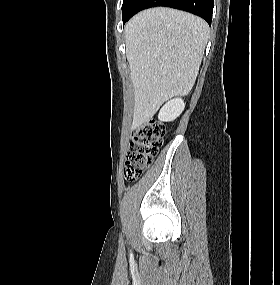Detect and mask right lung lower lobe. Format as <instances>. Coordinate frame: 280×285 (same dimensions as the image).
Here are the masks:
<instances>
[{"mask_svg":"<svg viewBox=\"0 0 280 285\" xmlns=\"http://www.w3.org/2000/svg\"><path fill=\"white\" fill-rule=\"evenodd\" d=\"M155 6H167L188 11L202 17L211 25L214 0H139L132 13L126 18H122L123 23L139 11Z\"/></svg>","mask_w":280,"mask_h":285,"instance_id":"98d812e1","label":"right lung lower lobe"}]
</instances>
